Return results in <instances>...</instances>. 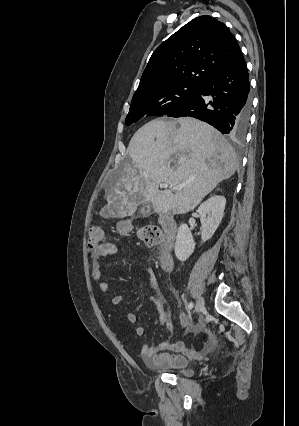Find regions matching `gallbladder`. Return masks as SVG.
Here are the masks:
<instances>
[{
	"label": "gallbladder",
	"mask_w": 299,
	"mask_h": 426,
	"mask_svg": "<svg viewBox=\"0 0 299 426\" xmlns=\"http://www.w3.org/2000/svg\"><path fill=\"white\" fill-rule=\"evenodd\" d=\"M149 212H150V207H149V206L143 207V208L141 209V213H143V214H147V213H149Z\"/></svg>",
	"instance_id": "gallbladder-1"
}]
</instances>
